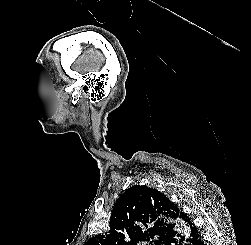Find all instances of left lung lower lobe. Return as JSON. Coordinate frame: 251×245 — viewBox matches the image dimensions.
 Masks as SVG:
<instances>
[{
  "label": "left lung lower lobe",
  "instance_id": "obj_1",
  "mask_svg": "<svg viewBox=\"0 0 251 245\" xmlns=\"http://www.w3.org/2000/svg\"><path fill=\"white\" fill-rule=\"evenodd\" d=\"M183 218H185L187 221H184V227L187 226V239L185 240L184 236L178 232L173 233L169 235L167 240L165 241V245H183L186 241L187 244L185 245H204V241L202 238V235L198 228L193 224L191 219L183 212L181 214Z\"/></svg>",
  "mask_w": 251,
  "mask_h": 245
}]
</instances>
